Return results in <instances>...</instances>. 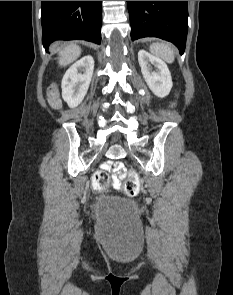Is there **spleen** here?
<instances>
[{
	"label": "spleen",
	"mask_w": 233,
	"mask_h": 295,
	"mask_svg": "<svg viewBox=\"0 0 233 295\" xmlns=\"http://www.w3.org/2000/svg\"><path fill=\"white\" fill-rule=\"evenodd\" d=\"M150 51L157 56L163 58L167 62L172 63L175 55L173 49L166 43L156 42L150 45Z\"/></svg>",
	"instance_id": "obj_1"
}]
</instances>
